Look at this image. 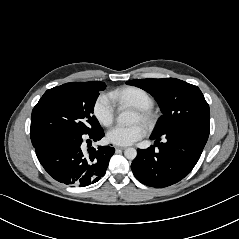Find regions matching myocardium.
<instances>
[{"label": "myocardium", "mask_w": 239, "mask_h": 239, "mask_svg": "<svg viewBox=\"0 0 239 239\" xmlns=\"http://www.w3.org/2000/svg\"><path fill=\"white\" fill-rule=\"evenodd\" d=\"M136 112L141 116L143 124L147 128H152L156 122V116L151 109L136 108Z\"/></svg>", "instance_id": "1"}]
</instances>
